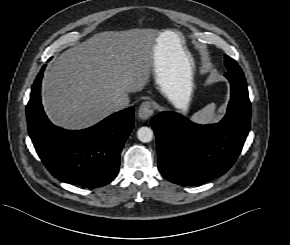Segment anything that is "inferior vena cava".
Instances as JSON below:
<instances>
[{"instance_id": "inferior-vena-cava-1", "label": "inferior vena cava", "mask_w": 290, "mask_h": 245, "mask_svg": "<svg viewBox=\"0 0 290 245\" xmlns=\"http://www.w3.org/2000/svg\"><path fill=\"white\" fill-rule=\"evenodd\" d=\"M128 103H129L128 100L120 97V98L115 100L114 108L116 110H120V109L126 108L128 106Z\"/></svg>"}]
</instances>
